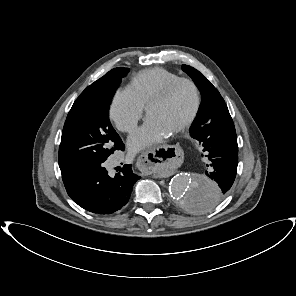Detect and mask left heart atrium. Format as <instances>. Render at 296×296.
<instances>
[{
  "instance_id": "39dd6f15",
  "label": "left heart atrium",
  "mask_w": 296,
  "mask_h": 296,
  "mask_svg": "<svg viewBox=\"0 0 296 296\" xmlns=\"http://www.w3.org/2000/svg\"><path fill=\"white\" fill-rule=\"evenodd\" d=\"M170 134L171 132L164 128L159 122L148 117L145 124L129 138V148L133 152L144 150L164 140Z\"/></svg>"
}]
</instances>
